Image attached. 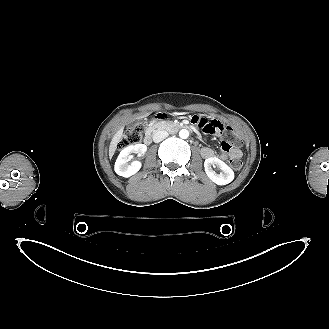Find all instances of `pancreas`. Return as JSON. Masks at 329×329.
<instances>
[{
    "label": "pancreas",
    "instance_id": "obj_1",
    "mask_svg": "<svg viewBox=\"0 0 329 329\" xmlns=\"http://www.w3.org/2000/svg\"><path fill=\"white\" fill-rule=\"evenodd\" d=\"M177 127H178V125L173 122H166L160 126V129H165V130L171 131Z\"/></svg>",
    "mask_w": 329,
    "mask_h": 329
}]
</instances>
